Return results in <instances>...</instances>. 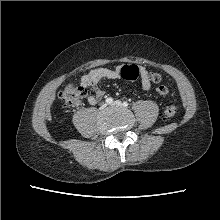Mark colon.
I'll return each instance as SVG.
<instances>
[{"label": "colon", "instance_id": "colon-1", "mask_svg": "<svg viewBox=\"0 0 220 220\" xmlns=\"http://www.w3.org/2000/svg\"><path fill=\"white\" fill-rule=\"evenodd\" d=\"M140 74L141 70L135 65H125L120 70L121 77L126 81H135L138 79ZM147 76L149 80L154 83H160L162 80V77L158 72L147 71ZM157 92L160 95H166L168 94V88L163 84H159L157 87ZM82 95L83 91L81 87H78L74 84H69L60 92L59 99L61 105L65 108H68L77 103ZM176 112L177 107L175 105H168L164 108L162 115L165 119H170L175 116Z\"/></svg>", "mask_w": 220, "mask_h": 220}]
</instances>
